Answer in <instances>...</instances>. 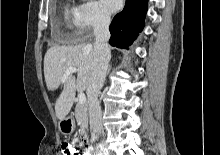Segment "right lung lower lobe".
<instances>
[{
  "instance_id": "obj_1",
  "label": "right lung lower lobe",
  "mask_w": 220,
  "mask_h": 155,
  "mask_svg": "<svg viewBox=\"0 0 220 155\" xmlns=\"http://www.w3.org/2000/svg\"><path fill=\"white\" fill-rule=\"evenodd\" d=\"M148 0H126L124 9L112 20L110 44L128 48L144 27Z\"/></svg>"
}]
</instances>
